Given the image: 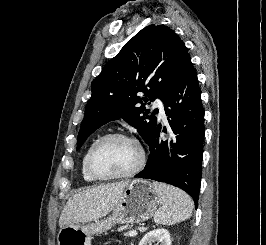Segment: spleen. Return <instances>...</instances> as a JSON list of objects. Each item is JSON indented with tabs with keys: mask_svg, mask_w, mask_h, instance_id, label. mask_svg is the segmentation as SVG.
<instances>
[{
	"mask_svg": "<svg viewBox=\"0 0 266 245\" xmlns=\"http://www.w3.org/2000/svg\"><path fill=\"white\" fill-rule=\"evenodd\" d=\"M152 187L162 205L154 215L157 225H176L192 217L194 203L187 193L165 183H152Z\"/></svg>",
	"mask_w": 266,
	"mask_h": 245,
	"instance_id": "3e777b00",
	"label": "spleen"
}]
</instances>
